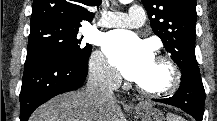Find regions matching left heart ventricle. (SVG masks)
<instances>
[{
	"mask_svg": "<svg viewBox=\"0 0 217 121\" xmlns=\"http://www.w3.org/2000/svg\"><path fill=\"white\" fill-rule=\"evenodd\" d=\"M167 79L166 67L154 60L138 83L148 88H158L164 85Z\"/></svg>",
	"mask_w": 217,
	"mask_h": 121,
	"instance_id": "left-heart-ventricle-1",
	"label": "left heart ventricle"
}]
</instances>
